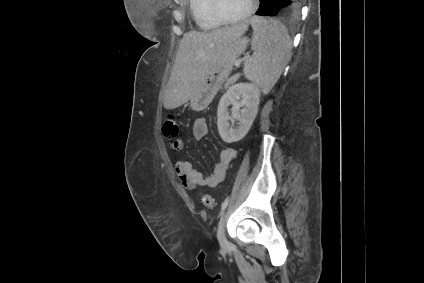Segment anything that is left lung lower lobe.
<instances>
[{
  "label": "left lung lower lobe",
  "mask_w": 424,
  "mask_h": 283,
  "mask_svg": "<svg viewBox=\"0 0 424 283\" xmlns=\"http://www.w3.org/2000/svg\"><path fill=\"white\" fill-rule=\"evenodd\" d=\"M302 0H260L256 12L260 16H275L279 13H296Z\"/></svg>",
  "instance_id": "obj_1"
}]
</instances>
